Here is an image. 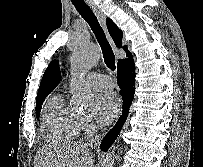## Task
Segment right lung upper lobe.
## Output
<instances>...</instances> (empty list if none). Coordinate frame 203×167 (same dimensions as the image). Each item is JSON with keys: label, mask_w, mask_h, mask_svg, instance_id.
<instances>
[{"label": "right lung upper lobe", "mask_w": 203, "mask_h": 167, "mask_svg": "<svg viewBox=\"0 0 203 167\" xmlns=\"http://www.w3.org/2000/svg\"><path fill=\"white\" fill-rule=\"evenodd\" d=\"M106 24L108 31L114 40L116 46L118 48H123L126 51V58L123 60H119L117 64V69L120 68L122 65H124L127 62L133 61L132 54L128 51L127 46L122 47V37L123 32L117 27V25L110 19H106ZM60 79V68L59 63L57 60L52 61L48 68L46 69L39 90H38V96H37V103L44 101L45 97L50 94L53 89L57 86Z\"/></svg>", "instance_id": "1"}]
</instances>
